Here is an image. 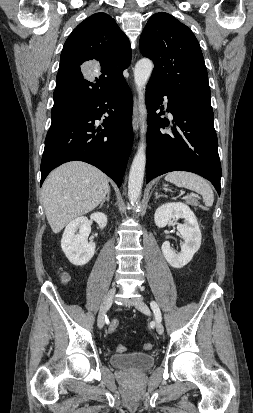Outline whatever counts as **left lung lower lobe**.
<instances>
[{"label":"left lung lower lobe","mask_w":253,"mask_h":413,"mask_svg":"<svg viewBox=\"0 0 253 413\" xmlns=\"http://www.w3.org/2000/svg\"><path fill=\"white\" fill-rule=\"evenodd\" d=\"M168 97L167 111L174 117L172 135L160 128L168 126L156 113ZM148 110L146 183L171 171H189L211 181L220 195L221 164L214 117L172 98L158 83L149 80L146 91ZM161 108V107H160Z\"/></svg>","instance_id":"1"}]
</instances>
